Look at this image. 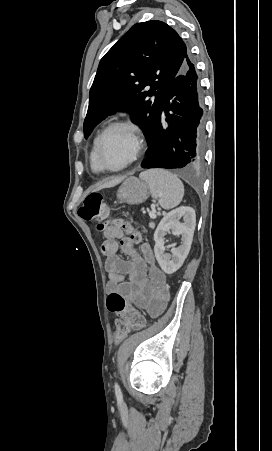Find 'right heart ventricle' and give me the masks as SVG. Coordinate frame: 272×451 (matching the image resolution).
I'll list each match as a JSON object with an SVG mask.
<instances>
[{"instance_id": "e07e8e85", "label": "right heart ventricle", "mask_w": 272, "mask_h": 451, "mask_svg": "<svg viewBox=\"0 0 272 451\" xmlns=\"http://www.w3.org/2000/svg\"><path fill=\"white\" fill-rule=\"evenodd\" d=\"M95 147L93 148L91 154H90V165L91 169L96 172V162H95V155H94Z\"/></svg>"}]
</instances>
